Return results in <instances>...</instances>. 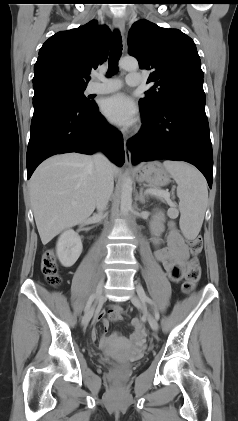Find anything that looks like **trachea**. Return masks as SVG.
Listing matches in <instances>:
<instances>
[{
  "instance_id": "obj_1",
  "label": "trachea",
  "mask_w": 238,
  "mask_h": 421,
  "mask_svg": "<svg viewBox=\"0 0 238 421\" xmlns=\"http://www.w3.org/2000/svg\"><path fill=\"white\" fill-rule=\"evenodd\" d=\"M122 54V40L118 30H115L112 36V43L109 55V69L108 76L117 73L118 60Z\"/></svg>"
}]
</instances>
